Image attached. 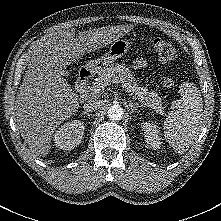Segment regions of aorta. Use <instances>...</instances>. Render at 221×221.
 <instances>
[{"label":"aorta","mask_w":221,"mask_h":221,"mask_svg":"<svg viewBox=\"0 0 221 221\" xmlns=\"http://www.w3.org/2000/svg\"><path fill=\"white\" fill-rule=\"evenodd\" d=\"M107 116L112 121H119L123 117V109L119 105H114L107 111Z\"/></svg>","instance_id":"762f6f07"}]
</instances>
